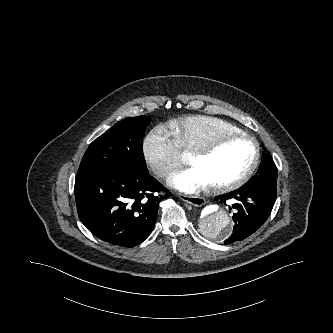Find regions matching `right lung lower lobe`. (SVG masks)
I'll return each instance as SVG.
<instances>
[{"instance_id":"98d812e1","label":"right lung lower lobe","mask_w":333,"mask_h":333,"mask_svg":"<svg viewBox=\"0 0 333 333\" xmlns=\"http://www.w3.org/2000/svg\"><path fill=\"white\" fill-rule=\"evenodd\" d=\"M166 192L164 196L156 192ZM168 192L145 172L92 168L78 170L75 199L82 223L97 238L134 247L151 233L159 203Z\"/></svg>"}]
</instances>
